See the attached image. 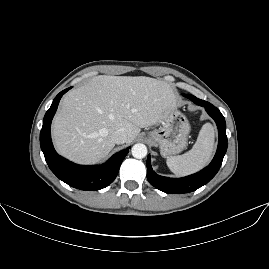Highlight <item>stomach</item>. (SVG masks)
I'll return each instance as SVG.
<instances>
[{
  "label": "stomach",
  "mask_w": 269,
  "mask_h": 269,
  "mask_svg": "<svg viewBox=\"0 0 269 269\" xmlns=\"http://www.w3.org/2000/svg\"><path fill=\"white\" fill-rule=\"evenodd\" d=\"M162 126L149 133L160 148L163 157L181 152L187 145L190 124L178 110L166 111L161 120Z\"/></svg>",
  "instance_id": "1"
}]
</instances>
